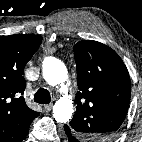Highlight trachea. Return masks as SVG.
I'll return each instance as SVG.
<instances>
[{
    "mask_svg": "<svg viewBox=\"0 0 142 142\" xmlns=\"http://www.w3.org/2000/svg\"><path fill=\"white\" fill-rule=\"evenodd\" d=\"M34 101L40 104H49L51 101L50 93L47 89L40 88L34 97Z\"/></svg>",
    "mask_w": 142,
    "mask_h": 142,
    "instance_id": "trachea-1",
    "label": "trachea"
}]
</instances>
